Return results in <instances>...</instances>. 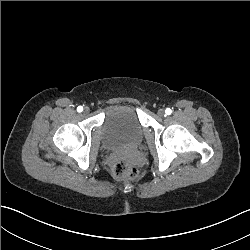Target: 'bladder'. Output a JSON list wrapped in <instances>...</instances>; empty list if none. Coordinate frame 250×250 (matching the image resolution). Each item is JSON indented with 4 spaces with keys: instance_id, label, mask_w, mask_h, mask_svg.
I'll list each match as a JSON object with an SVG mask.
<instances>
[{
    "instance_id": "1",
    "label": "bladder",
    "mask_w": 250,
    "mask_h": 250,
    "mask_svg": "<svg viewBox=\"0 0 250 250\" xmlns=\"http://www.w3.org/2000/svg\"><path fill=\"white\" fill-rule=\"evenodd\" d=\"M143 139V127L135 107L111 104L103 109L99 126V146L102 149L111 153L137 149Z\"/></svg>"
}]
</instances>
